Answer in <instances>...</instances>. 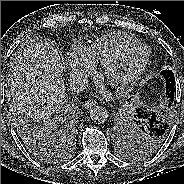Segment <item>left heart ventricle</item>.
<instances>
[{
    "label": "left heart ventricle",
    "instance_id": "1",
    "mask_svg": "<svg viewBox=\"0 0 184 184\" xmlns=\"http://www.w3.org/2000/svg\"><path fill=\"white\" fill-rule=\"evenodd\" d=\"M143 51L134 50L130 52L110 73V80L120 82L129 76L141 63Z\"/></svg>",
    "mask_w": 184,
    "mask_h": 184
}]
</instances>
